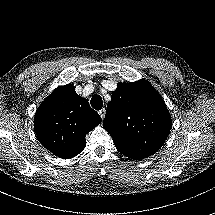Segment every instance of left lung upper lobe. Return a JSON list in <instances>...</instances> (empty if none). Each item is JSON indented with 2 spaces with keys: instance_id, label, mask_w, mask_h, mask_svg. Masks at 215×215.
<instances>
[{
  "instance_id": "1",
  "label": "left lung upper lobe",
  "mask_w": 215,
  "mask_h": 215,
  "mask_svg": "<svg viewBox=\"0 0 215 215\" xmlns=\"http://www.w3.org/2000/svg\"><path fill=\"white\" fill-rule=\"evenodd\" d=\"M171 126L166 104L149 82L118 83L103 121L118 151L134 160L149 157L161 148Z\"/></svg>"
}]
</instances>
